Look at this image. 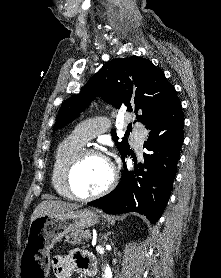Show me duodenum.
I'll return each mask as SVG.
<instances>
[{"mask_svg": "<svg viewBox=\"0 0 221 278\" xmlns=\"http://www.w3.org/2000/svg\"><path fill=\"white\" fill-rule=\"evenodd\" d=\"M86 273H87L88 275H90V276L95 275V273H96V265H95L94 267L88 269V270L86 271Z\"/></svg>", "mask_w": 221, "mask_h": 278, "instance_id": "obj_1", "label": "duodenum"}]
</instances>
